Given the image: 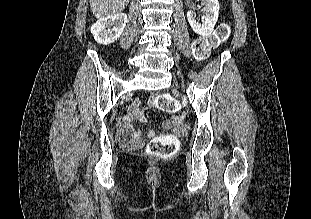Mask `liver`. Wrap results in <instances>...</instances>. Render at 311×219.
Masks as SVG:
<instances>
[{"instance_id": "1", "label": "liver", "mask_w": 311, "mask_h": 219, "mask_svg": "<svg viewBox=\"0 0 311 219\" xmlns=\"http://www.w3.org/2000/svg\"><path fill=\"white\" fill-rule=\"evenodd\" d=\"M93 15L97 19L121 13L130 0H89Z\"/></svg>"}]
</instances>
